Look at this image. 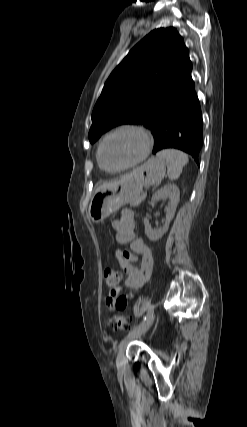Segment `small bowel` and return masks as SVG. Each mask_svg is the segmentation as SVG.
<instances>
[{
  "mask_svg": "<svg viewBox=\"0 0 247 427\" xmlns=\"http://www.w3.org/2000/svg\"><path fill=\"white\" fill-rule=\"evenodd\" d=\"M135 217L131 211L124 210L121 217L112 223L116 233V241L120 244H129L130 251H117V260L126 274L124 286L129 289H139L151 276L153 270V255L150 247L135 235ZM141 255L140 267L133 263ZM121 287L109 292L106 305L109 310H123L126 308L129 297L121 296Z\"/></svg>",
  "mask_w": 247,
  "mask_h": 427,
  "instance_id": "small-bowel-1",
  "label": "small bowel"
}]
</instances>
